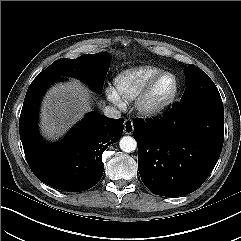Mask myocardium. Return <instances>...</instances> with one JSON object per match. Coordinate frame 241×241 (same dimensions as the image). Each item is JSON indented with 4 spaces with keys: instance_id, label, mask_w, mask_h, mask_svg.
<instances>
[{
    "instance_id": "obj_1",
    "label": "myocardium",
    "mask_w": 241,
    "mask_h": 241,
    "mask_svg": "<svg viewBox=\"0 0 241 241\" xmlns=\"http://www.w3.org/2000/svg\"><path fill=\"white\" fill-rule=\"evenodd\" d=\"M165 77L173 79L172 92L162 100H154L153 92L157 84ZM179 92V82L177 77L171 72H161L155 76L140 92L135 100V109L141 116L155 118L163 115L174 103Z\"/></svg>"
}]
</instances>
